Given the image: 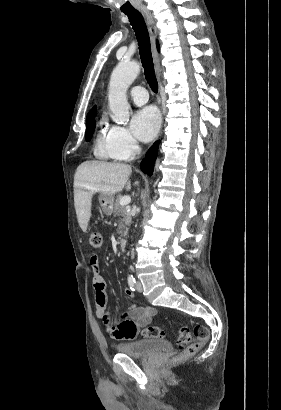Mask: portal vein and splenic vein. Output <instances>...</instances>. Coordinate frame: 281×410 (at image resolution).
I'll return each instance as SVG.
<instances>
[{"mask_svg":"<svg viewBox=\"0 0 281 410\" xmlns=\"http://www.w3.org/2000/svg\"><path fill=\"white\" fill-rule=\"evenodd\" d=\"M130 202H131L130 196H123L120 198V201H119L120 205L122 206L128 205Z\"/></svg>","mask_w":281,"mask_h":410,"instance_id":"portal-vein-and-splenic-vein-1","label":"portal vein and splenic vein"}]
</instances>
